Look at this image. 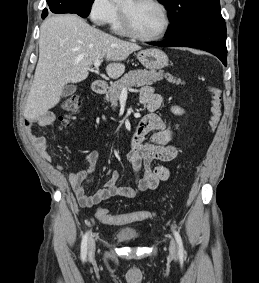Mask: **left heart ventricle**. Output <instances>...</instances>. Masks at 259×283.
<instances>
[{"mask_svg": "<svg viewBox=\"0 0 259 283\" xmlns=\"http://www.w3.org/2000/svg\"><path fill=\"white\" fill-rule=\"evenodd\" d=\"M120 6L128 11L135 29L142 35L156 36L164 29V15L157 5L149 1L122 0Z\"/></svg>", "mask_w": 259, "mask_h": 283, "instance_id": "1", "label": "left heart ventricle"}]
</instances>
